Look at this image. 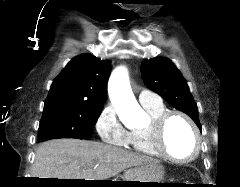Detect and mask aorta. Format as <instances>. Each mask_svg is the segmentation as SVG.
<instances>
[{
	"label": "aorta",
	"mask_w": 240,
	"mask_h": 187,
	"mask_svg": "<svg viewBox=\"0 0 240 187\" xmlns=\"http://www.w3.org/2000/svg\"><path fill=\"white\" fill-rule=\"evenodd\" d=\"M108 94L121 120L135 124L145 117L131 90L126 68L118 67L112 72L108 82Z\"/></svg>",
	"instance_id": "aorta-1"
}]
</instances>
